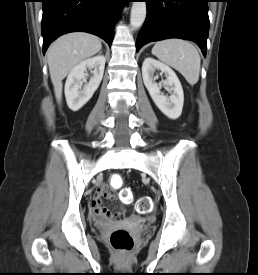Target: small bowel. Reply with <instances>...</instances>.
I'll list each match as a JSON object with an SVG mask.
<instances>
[{
    "instance_id": "1",
    "label": "small bowel",
    "mask_w": 258,
    "mask_h": 275,
    "mask_svg": "<svg viewBox=\"0 0 258 275\" xmlns=\"http://www.w3.org/2000/svg\"><path fill=\"white\" fill-rule=\"evenodd\" d=\"M102 196H107L110 199H113L115 197L114 193L112 192V189L109 186L102 185L96 189L93 199L90 203V207L96 215L102 218L113 219L112 213L102 205ZM119 214L121 217L124 215L123 213Z\"/></svg>"
}]
</instances>
